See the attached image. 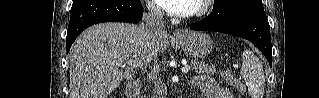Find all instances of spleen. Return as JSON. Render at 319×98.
I'll return each instance as SVG.
<instances>
[{
    "mask_svg": "<svg viewBox=\"0 0 319 98\" xmlns=\"http://www.w3.org/2000/svg\"><path fill=\"white\" fill-rule=\"evenodd\" d=\"M246 82L251 98H263L265 76L260 60L250 51L243 52V62L240 70Z\"/></svg>",
    "mask_w": 319,
    "mask_h": 98,
    "instance_id": "spleen-1",
    "label": "spleen"
}]
</instances>
